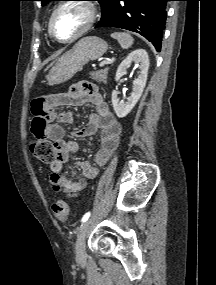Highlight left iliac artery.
<instances>
[{"mask_svg":"<svg viewBox=\"0 0 216 285\" xmlns=\"http://www.w3.org/2000/svg\"><path fill=\"white\" fill-rule=\"evenodd\" d=\"M90 217V212H87L83 217H82V223L86 222L88 218Z\"/></svg>","mask_w":216,"mask_h":285,"instance_id":"obj_1","label":"left iliac artery"}]
</instances>
